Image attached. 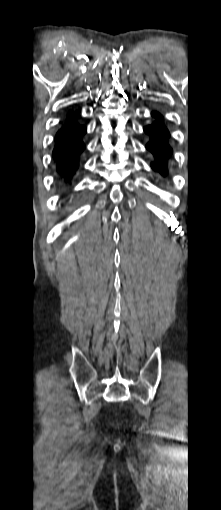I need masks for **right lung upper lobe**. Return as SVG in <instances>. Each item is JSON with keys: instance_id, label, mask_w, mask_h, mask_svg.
<instances>
[{"instance_id": "cb5924a9", "label": "right lung upper lobe", "mask_w": 221, "mask_h": 510, "mask_svg": "<svg viewBox=\"0 0 221 510\" xmlns=\"http://www.w3.org/2000/svg\"><path fill=\"white\" fill-rule=\"evenodd\" d=\"M76 125L74 118L72 116H69L68 121L66 124L59 130V132L64 131L72 126Z\"/></svg>"}]
</instances>
